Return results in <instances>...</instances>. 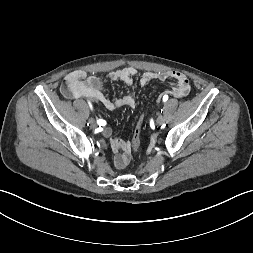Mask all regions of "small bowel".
Masks as SVG:
<instances>
[{
  "label": "small bowel",
  "instance_id": "obj_1",
  "mask_svg": "<svg viewBox=\"0 0 253 253\" xmlns=\"http://www.w3.org/2000/svg\"><path fill=\"white\" fill-rule=\"evenodd\" d=\"M138 76V71L130 66L114 70L109 74L111 81H122L126 85H132L134 79ZM154 80L172 81V87L168 93L176 98L185 97L190 91L188 78L179 71L146 72L139 76V83L142 86ZM61 92L69 99L85 97L101 103L110 111H115L121 107L134 108L136 106L132 94H125L115 99L108 98L103 93L102 80L96 76H89L82 70H76L66 75ZM102 133L108 139L111 148L116 152L114 166L117 169H123L129 162L130 143L112 136L109 128H105Z\"/></svg>",
  "mask_w": 253,
  "mask_h": 253
}]
</instances>
